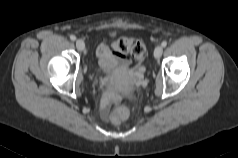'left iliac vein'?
Segmentation results:
<instances>
[{
  "label": "left iliac vein",
  "instance_id": "1",
  "mask_svg": "<svg viewBox=\"0 0 238 158\" xmlns=\"http://www.w3.org/2000/svg\"><path fill=\"white\" fill-rule=\"evenodd\" d=\"M163 53V47L162 46H157L154 50V57L156 59H159L162 56Z\"/></svg>",
  "mask_w": 238,
  "mask_h": 158
}]
</instances>
